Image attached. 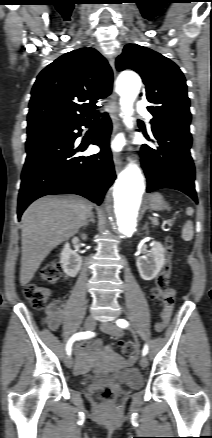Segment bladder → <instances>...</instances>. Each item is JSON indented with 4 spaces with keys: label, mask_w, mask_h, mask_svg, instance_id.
I'll use <instances>...</instances> for the list:
<instances>
[{
    "label": "bladder",
    "mask_w": 212,
    "mask_h": 438,
    "mask_svg": "<svg viewBox=\"0 0 212 438\" xmlns=\"http://www.w3.org/2000/svg\"><path fill=\"white\" fill-rule=\"evenodd\" d=\"M99 376L96 374H90L84 378L85 381L89 382L95 379H98ZM112 379L114 381L120 382L125 384L128 387L131 388H137L141 385V379L140 377L134 373L132 370H123L115 375H113Z\"/></svg>",
    "instance_id": "bladder-1"
}]
</instances>
